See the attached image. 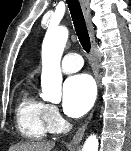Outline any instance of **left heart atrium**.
Listing matches in <instances>:
<instances>
[{
  "label": "left heart atrium",
  "instance_id": "1",
  "mask_svg": "<svg viewBox=\"0 0 131 151\" xmlns=\"http://www.w3.org/2000/svg\"><path fill=\"white\" fill-rule=\"evenodd\" d=\"M95 98V84L87 74L71 76L63 86V109L70 117H80L91 107Z\"/></svg>",
  "mask_w": 131,
  "mask_h": 151
}]
</instances>
